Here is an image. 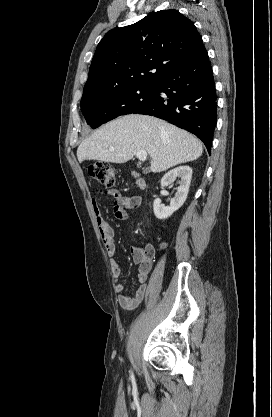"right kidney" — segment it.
Listing matches in <instances>:
<instances>
[{"label":"right kidney","instance_id":"ca27d5eb","mask_svg":"<svg viewBox=\"0 0 272 417\" xmlns=\"http://www.w3.org/2000/svg\"><path fill=\"white\" fill-rule=\"evenodd\" d=\"M176 178H180L179 187L174 198L170 201V206H164L159 198H156L153 202V211L158 219L170 217L186 201L192 178V169L189 166H179L170 170L161 179L162 188L170 186Z\"/></svg>","mask_w":272,"mask_h":417}]
</instances>
